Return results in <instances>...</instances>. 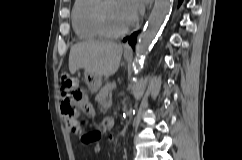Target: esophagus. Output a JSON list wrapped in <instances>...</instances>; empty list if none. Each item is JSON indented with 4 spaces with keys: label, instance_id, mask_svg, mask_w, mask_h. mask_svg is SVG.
I'll return each instance as SVG.
<instances>
[{
    "label": "esophagus",
    "instance_id": "obj_1",
    "mask_svg": "<svg viewBox=\"0 0 242 160\" xmlns=\"http://www.w3.org/2000/svg\"><path fill=\"white\" fill-rule=\"evenodd\" d=\"M125 52L132 53V48L129 45L125 46Z\"/></svg>",
    "mask_w": 242,
    "mask_h": 160
}]
</instances>
